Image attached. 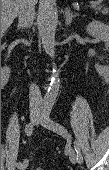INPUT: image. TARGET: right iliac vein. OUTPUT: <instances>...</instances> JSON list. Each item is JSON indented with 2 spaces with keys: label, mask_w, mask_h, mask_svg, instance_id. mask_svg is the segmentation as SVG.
<instances>
[{
  "label": "right iliac vein",
  "mask_w": 109,
  "mask_h": 170,
  "mask_svg": "<svg viewBox=\"0 0 109 170\" xmlns=\"http://www.w3.org/2000/svg\"><path fill=\"white\" fill-rule=\"evenodd\" d=\"M40 114L36 109L30 111V120L32 123H36ZM28 166V160H24L22 166L18 167L19 170H25Z\"/></svg>",
  "instance_id": "obj_1"
}]
</instances>
